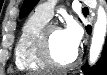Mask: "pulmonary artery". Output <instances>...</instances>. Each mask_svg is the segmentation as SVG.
Masks as SVG:
<instances>
[{"label": "pulmonary artery", "instance_id": "pulmonary-artery-1", "mask_svg": "<svg viewBox=\"0 0 107 75\" xmlns=\"http://www.w3.org/2000/svg\"><path fill=\"white\" fill-rule=\"evenodd\" d=\"M56 1H46L38 5L36 12L43 18L49 20L53 16Z\"/></svg>", "mask_w": 107, "mask_h": 75}]
</instances>
